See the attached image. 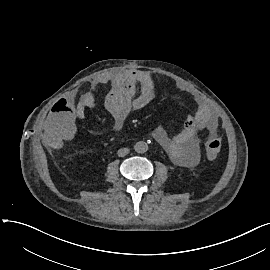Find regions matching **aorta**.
Returning <instances> with one entry per match:
<instances>
[{
  "instance_id": "obj_1",
  "label": "aorta",
  "mask_w": 270,
  "mask_h": 270,
  "mask_svg": "<svg viewBox=\"0 0 270 270\" xmlns=\"http://www.w3.org/2000/svg\"><path fill=\"white\" fill-rule=\"evenodd\" d=\"M134 150L137 152V153H145L147 152L148 150V145L146 142L144 141H138L136 142V144L134 145Z\"/></svg>"
}]
</instances>
